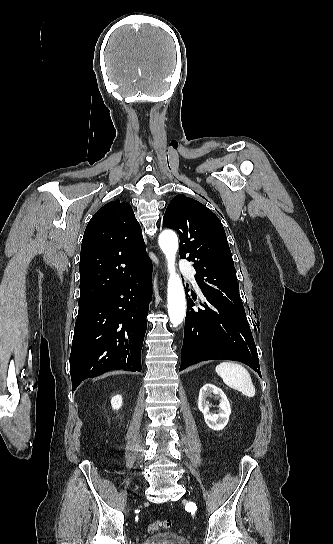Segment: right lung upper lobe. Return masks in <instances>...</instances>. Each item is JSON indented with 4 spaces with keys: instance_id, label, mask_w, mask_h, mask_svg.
<instances>
[{
    "instance_id": "obj_1",
    "label": "right lung upper lobe",
    "mask_w": 333,
    "mask_h": 544,
    "mask_svg": "<svg viewBox=\"0 0 333 544\" xmlns=\"http://www.w3.org/2000/svg\"><path fill=\"white\" fill-rule=\"evenodd\" d=\"M150 264L131 205L119 199L107 203L84 232L79 301L105 298Z\"/></svg>"
}]
</instances>
